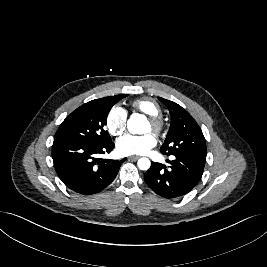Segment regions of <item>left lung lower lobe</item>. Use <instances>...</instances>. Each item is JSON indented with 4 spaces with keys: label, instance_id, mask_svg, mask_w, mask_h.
<instances>
[{
    "label": "left lung lower lobe",
    "instance_id": "1",
    "mask_svg": "<svg viewBox=\"0 0 267 267\" xmlns=\"http://www.w3.org/2000/svg\"><path fill=\"white\" fill-rule=\"evenodd\" d=\"M169 167L152 163L144 175L146 184L158 195L173 199L189 193L202 177L205 160L174 155Z\"/></svg>",
    "mask_w": 267,
    "mask_h": 267
}]
</instances>
